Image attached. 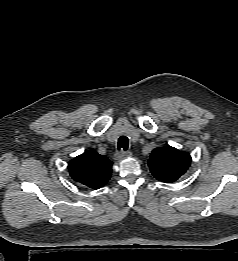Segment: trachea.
Masks as SVG:
<instances>
[{
    "label": "trachea",
    "mask_w": 238,
    "mask_h": 261,
    "mask_svg": "<svg viewBox=\"0 0 238 261\" xmlns=\"http://www.w3.org/2000/svg\"><path fill=\"white\" fill-rule=\"evenodd\" d=\"M129 145V139L126 136H121L118 140V149L120 150L121 148L126 151L128 149Z\"/></svg>",
    "instance_id": "1"
}]
</instances>
